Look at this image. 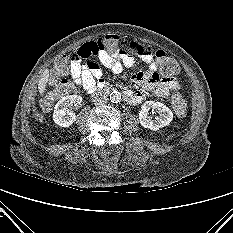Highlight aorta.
Listing matches in <instances>:
<instances>
[{
	"mask_svg": "<svg viewBox=\"0 0 233 233\" xmlns=\"http://www.w3.org/2000/svg\"><path fill=\"white\" fill-rule=\"evenodd\" d=\"M121 100V93L120 92H117V91H113L111 94H110V101L112 103H118L120 102Z\"/></svg>",
	"mask_w": 233,
	"mask_h": 233,
	"instance_id": "762f6f07",
	"label": "aorta"
}]
</instances>
